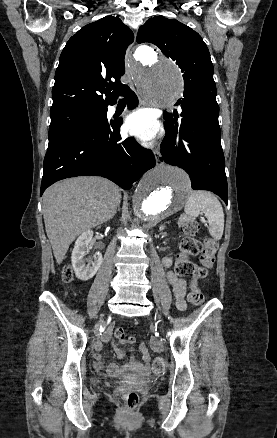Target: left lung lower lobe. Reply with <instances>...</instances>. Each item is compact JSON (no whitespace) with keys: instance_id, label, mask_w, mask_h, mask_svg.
<instances>
[{"instance_id":"0a47b994","label":"left lung lower lobe","mask_w":277,"mask_h":438,"mask_svg":"<svg viewBox=\"0 0 277 438\" xmlns=\"http://www.w3.org/2000/svg\"><path fill=\"white\" fill-rule=\"evenodd\" d=\"M178 114L165 118L167 136L162 144V160L184 169L192 188L208 190L228 201L225 159L221 147L216 96L180 100Z\"/></svg>"}]
</instances>
